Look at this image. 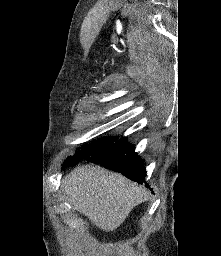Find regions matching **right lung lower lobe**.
<instances>
[{"mask_svg":"<svg viewBox=\"0 0 221 256\" xmlns=\"http://www.w3.org/2000/svg\"><path fill=\"white\" fill-rule=\"evenodd\" d=\"M86 160L117 171L140 184L146 176L143 161L135 153V148L126 142V138L108 144Z\"/></svg>","mask_w":221,"mask_h":256,"instance_id":"98d812e1","label":"right lung lower lobe"}]
</instances>
